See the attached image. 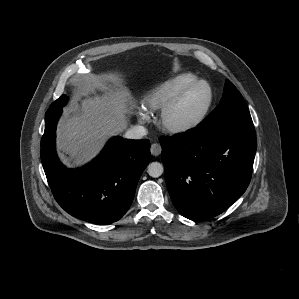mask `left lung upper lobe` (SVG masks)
Instances as JSON below:
<instances>
[{"label":"left lung upper lobe","instance_id":"obj_1","mask_svg":"<svg viewBox=\"0 0 299 299\" xmlns=\"http://www.w3.org/2000/svg\"><path fill=\"white\" fill-rule=\"evenodd\" d=\"M209 132L254 130L248 106L237 88L226 80L219 105L197 126Z\"/></svg>","mask_w":299,"mask_h":299}]
</instances>
